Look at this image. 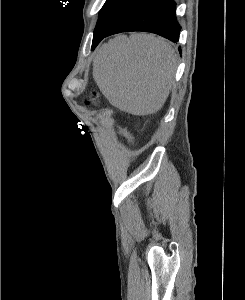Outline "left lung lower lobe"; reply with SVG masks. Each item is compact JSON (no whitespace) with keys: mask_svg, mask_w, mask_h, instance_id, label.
I'll return each mask as SVG.
<instances>
[{"mask_svg":"<svg viewBox=\"0 0 245 300\" xmlns=\"http://www.w3.org/2000/svg\"><path fill=\"white\" fill-rule=\"evenodd\" d=\"M175 9L173 0H142L125 12L108 31L94 32L91 49L94 50L105 37L131 31L152 32L177 42L180 25L175 17Z\"/></svg>","mask_w":245,"mask_h":300,"instance_id":"0a47b994","label":"left lung lower lobe"}]
</instances>
